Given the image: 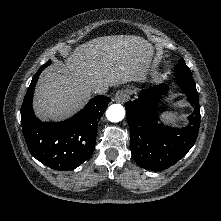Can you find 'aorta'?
I'll list each match as a JSON object with an SVG mask.
<instances>
[{"mask_svg":"<svg viewBox=\"0 0 221 221\" xmlns=\"http://www.w3.org/2000/svg\"><path fill=\"white\" fill-rule=\"evenodd\" d=\"M106 117L111 122H119L125 117V109L121 104H113L106 110Z\"/></svg>","mask_w":221,"mask_h":221,"instance_id":"762f6f07","label":"aorta"}]
</instances>
